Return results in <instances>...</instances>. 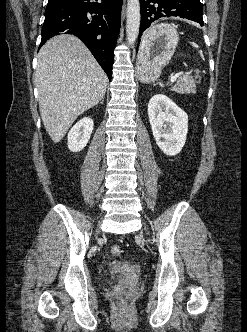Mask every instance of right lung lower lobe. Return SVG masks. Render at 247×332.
<instances>
[{
	"label": "right lung lower lobe",
	"mask_w": 247,
	"mask_h": 332,
	"mask_svg": "<svg viewBox=\"0 0 247 332\" xmlns=\"http://www.w3.org/2000/svg\"><path fill=\"white\" fill-rule=\"evenodd\" d=\"M99 1L48 0L40 46L54 35L73 34L88 47L111 80L123 0Z\"/></svg>",
	"instance_id": "obj_1"
}]
</instances>
